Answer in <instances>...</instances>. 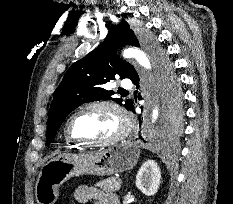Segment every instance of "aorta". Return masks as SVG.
<instances>
[{"label":"aorta","mask_w":233,"mask_h":204,"mask_svg":"<svg viewBox=\"0 0 233 204\" xmlns=\"http://www.w3.org/2000/svg\"><path fill=\"white\" fill-rule=\"evenodd\" d=\"M123 57L124 58H135L137 60V62L144 68L146 69H151V64L150 61L148 59V57L146 56V54L137 49V48H128L125 49L123 52ZM159 116V109L158 107L153 108L152 110V123H155L156 120L158 119Z\"/></svg>","instance_id":"aorta-1"}]
</instances>
